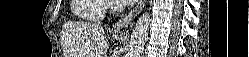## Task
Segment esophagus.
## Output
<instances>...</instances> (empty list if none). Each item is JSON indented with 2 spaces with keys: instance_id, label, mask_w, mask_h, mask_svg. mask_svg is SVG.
I'll use <instances>...</instances> for the list:
<instances>
[{
  "instance_id": "obj_1",
  "label": "esophagus",
  "mask_w": 249,
  "mask_h": 57,
  "mask_svg": "<svg viewBox=\"0 0 249 57\" xmlns=\"http://www.w3.org/2000/svg\"><path fill=\"white\" fill-rule=\"evenodd\" d=\"M146 0H140L137 6L130 11L128 15L120 19L117 23L112 26V30L115 32L124 31L128 28L134 17L140 12V10L145 5Z\"/></svg>"
}]
</instances>
